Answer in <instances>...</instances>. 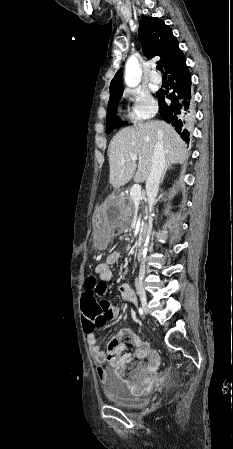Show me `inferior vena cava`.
I'll use <instances>...</instances> for the list:
<instances>
[{
    "label": "inferior vena cava",
    "mask_w": 233,
    "mask_h": 449,
    "mask_svg": "<svg viewBox=\"0 0 233 449\" xmlns=\"http://www.w3.org/2000/svg\"><path fill=\"white\" fill-rule=\"evenodd\" d=\"M166 160H165V150L163 147L162 140H159L155 145L150 172L148 178L146 180V193H147V201L149 205L150 211L153 208L158 190L160 178L164 172ZM152 216L149 217V225H148V233H151L152 230ZM145 274V266L140 269L139 275L143 277Z\"/></svg>",
    "instance_id": "1"
}]
</instances>
